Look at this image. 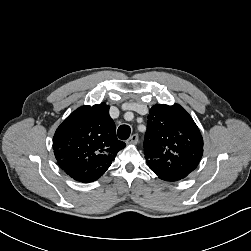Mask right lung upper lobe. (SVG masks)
Returning <instances> with one entry per match:
<instances>
[{
    "label": "right lung upper lobe",
    "instance_id": "obj_1",
    "mask_svg": "<svg viewBox=\"0 0 251 251\" xmlns=\"http://www.w3.org/2000/svg\"><path fill=\"white\" fill-rule=\"evenodd\" d=\"M125 146L116 137V127L105 103L78 108L53 137L59 166L80 182H92L102 176Z\"/></svg>",
    "mask_w": 251,
    "mask_h": 251
}]
</instances>
